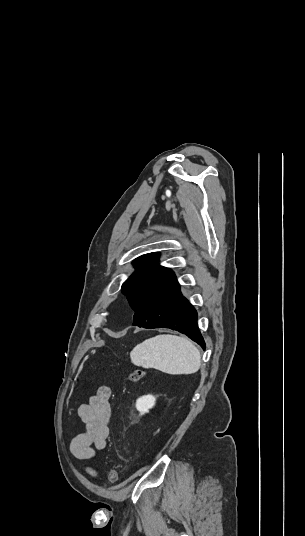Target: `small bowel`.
<instances>
[{
	"instance_id": "small-bowel-1",
	"label": "small bowel",
	"mask_w": 305,
	"mask_h": 536,
	"mask_svg": "<svg viewBox=\"0 0 305 536\" xmlns=\"http://www.w3.org/2000/svg\"><path fill=\"white\" fill-rule=\"evenodd\" d=\"M110 396V388L103 386L89 399L88 403L79 406L78 415L85 428L83 432L75 436L71 443V452L76 458L90 459L97 450L106 447L110 433Z\"/></svg>"
}]
</instances>
